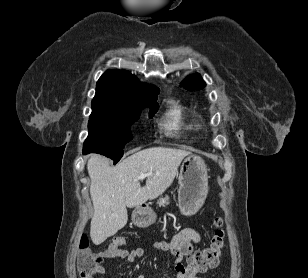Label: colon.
<instances>
[{"instance_id": "colon-1", "label": "colon", "mask_w": 308, "mask_h": 278, "mask_svg": "<svg viewBox=\"0 0 308 278\" xmlns=\"http://www.w3.org/2000/svg\"><path fill=\"white\" fill-rule=\"evenodd\" d=\"M216 231L211 239L209 246L202 250H198L187 256L189 266L196 268L200 272L218 265L222 250L224 248V232L222 230V222L216 219ZM125 243L123 237H115L110 243L105 244L106 250H119L120 246ZM103 259L101 253L91 250L89 241L86 236H82L79 244L78 256V272L81 278H96L100 275Z\"/></svg>"}]
</instances>
